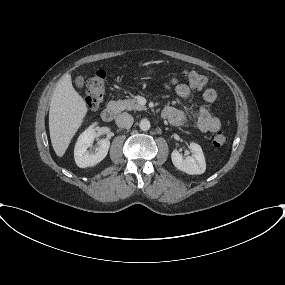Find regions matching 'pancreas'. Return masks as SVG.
<instances>
[{
    "mask_svg": "<svg viewBox=\"0 0 285 285\" xmlns=\"http://www.w3.org/2000/svg\"><path fill=\"white\" fill-rule=\"evenodd\" d=\"M110 104L114 107L116 112H121L123 110H145V106H141L137 103L136 99H126V100H118L112 101Z\"/></svg>",
    "mask_w": 285,
    "mask_h": 285,
    "instance_id": "obj_1",
    "label": "pancreas"
}]
</instances>
